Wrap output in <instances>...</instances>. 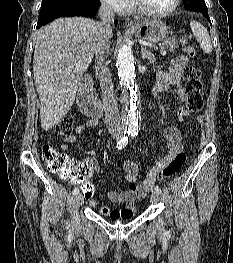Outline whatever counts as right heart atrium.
<instances>
[{
    "mask_svg": "<svg viewBox=\"0 0 233 263\" xmlns=\"http://www.w3.org/2000/svg\"><path fill=\"white\" fill-rule=\"evenodd\" d=\"M101 2L116 13L126 12L130 7V0H101Z\"/></svg>",
    "mask_w": 233,
    "mask_h": 263,
    "instance_id": "1",
    "label": "right heart atrium"
}]
</instances>
